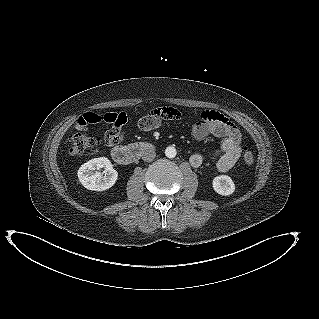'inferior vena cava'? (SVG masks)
<instances>
[{
	"instance_id": "inferior-vena-cava-1",
	"label": "inferior vena cava",
	"mask_w": 319,
	"mask_h": 319,
	"mask_svg": "<svg viewBox=\"0 0 319 319\" xmlns=\"http://www.w3.org/2000/svg\"><path fill=\"white\" fill-rule=\"evenodd\" d=\"M156 157V153L153 149H146L142 152V159L145 162H151Z\"/></svg>"
}]
</instances>
